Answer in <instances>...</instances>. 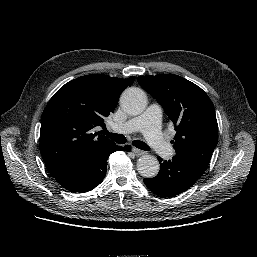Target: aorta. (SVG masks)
Listing matches in <instances>:
<instances>
[{"label":"aorta","mask_w":257,"mask_h":257,"mask_svg":"<svg viewBox=\"0 0 257 257\" xmlns=\"http://www.w3.org/2000/svg\"><path fill=\"white\" fill-rule=\"evenodd\" d=\"M120 104L126 113L139 115L147 106V96L139 88H128L122 93ZM159 169V161L152 155H144L137 161V171L143 177L153 178L158 174Z\"/></svg>","instance_id":"1"}]
</instances>
